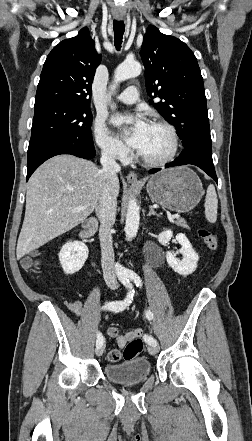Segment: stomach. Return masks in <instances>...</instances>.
<instances>
[{"mask_svg": "<svg viewBox=\"0 0 252 441\" xmlns=\"http://www.w3.org/2000/svg\"><path fill=\"white\" fill-rule=\"evenodd\" d=\"M146 188L152 201L179 213L192 210L204 192L199 177L186 166L153 175Z\"/></svg>", "mask_w": 252, "mask_h": 441, "instance_id": "0dacf381", "label": "stomach"}]
</instances>
